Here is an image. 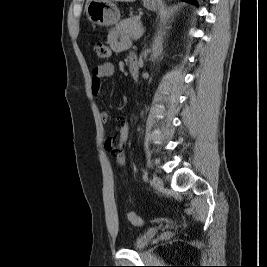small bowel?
I'll return each instance as SVG.
<instances>
[{
	"label": "small bowel",
	"mask_w": 267,
	"mask_h": 267,
	"mask_svg": "<svg viewBox=\"0 0 267 267\" xmlns=\"http://www.w3.org/2000/svg\"><path fill=\"white\" fill-rule=\"evenodd\" d=\"M107 40L115 51H122L128 47V43L124 40H121L115 30H112L108 34ZM114 71V65L109 62L102 63L92 70L91 92L93 96L99 97L101 95L103 79L112 76ZM109 118V114L106 111L100 112V119L103 123H108ZM116 124L118 136L116 139L113 137H108L105 141V149L116 158V161L119 165H123L125 163L123 149L129 135V122L125 117L118 116L116 118Z\"/></svg>",
	"instance_id": "c3829d8e"
}]
</instances>
